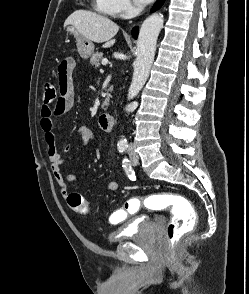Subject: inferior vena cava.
I'll list each match as a JSON object with an SVG mask.
<instances>
[{"instance_id":"obj_1","label":"inferior vena cava","mask_w":249,"mask_h":294,"mask_svg":"<svg viewBox=\"0 0 249 294\" xmlns=\"http://www.w3.org/2000/svg\"><path fill=\"white\" fill-rule=\"evenodd\" d=\"M126 111L130 112V107L129 106L126 107Z\"/></svg>"}]
</instances>
